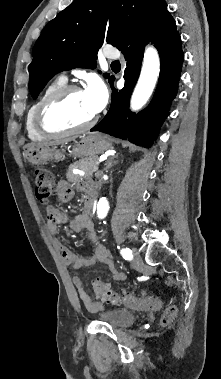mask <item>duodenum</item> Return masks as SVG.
<instances>
[{
    "instance_id": "410a0bca",
    "label": "duodenum",
    "mask_w": 221,
    "mask_h": 379,
    "mask_svg": "<svg viewBox=\"0 0 221 379\" xmlns=\"http://www.w3.org/2000/svg\"><path fill=\"white\" fill-rule=\"evenodd\" d=\"M96 192L95 189L91 186L88 190V197L84 205V212L90 214L93 210L95 202Z\"/></svg>"
}]
</instances>
